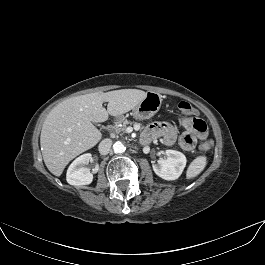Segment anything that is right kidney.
<instances>
[{
	"label": "right kidney",
	"instance_id": "obj_1",
	"mask_svg": "<svg viewBox=\"0 0 265 265\" xmlns=\"http://www.w3.org/2000/svg\"><path fill=\"white\" fill-rule=\"evenodd\" d=\"M90 161H92V155L86 153L71 163L66 174V180L70 185H88L92 182L93 174L89 168L85 167Z\"/></svg>",
	"mask_w": 265,
	"mask_h": 265
}]
</instances>
